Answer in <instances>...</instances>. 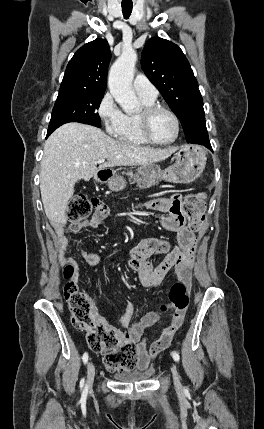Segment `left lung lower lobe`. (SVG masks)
Listing matches in <instances>:
<instances>
[{"instance_id":"1","label":"left lung lower lobe","mask_w":264,"mask_h":429,"mask_svg":"<svg viewBox=\"0 0 264 429\" xmlns=\"http://www.w3.org/2000/svg\"><path fill=\"white\" fill-rule=\"evenodd\" d=\"M201 145H203V146L207 147L208 149H210L211 151H213L211 148L210 142H203V143H201Z\"/></svg>"}]
</instances>
